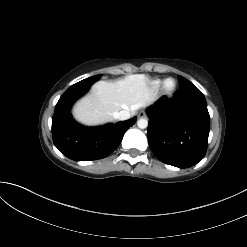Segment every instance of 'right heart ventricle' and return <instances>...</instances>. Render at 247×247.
Here are the masks:
<instances>
[{"label": "right heart ventricle", "mask_w": 247, "mask_h": 247, "mask_svg": "<svg viewBox=\"0 0 247 247\" xmlns=\"http://www.w3.org/2000/svg\"><path fill=\"white\" fill-rule=\"evenodd\" d=\"M162 84H163L162 80H155L153 82V87H154V89H158Z\"/></svg>", "instance_id": "1"}]
</instances>
